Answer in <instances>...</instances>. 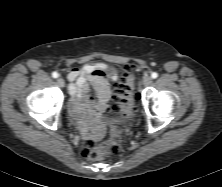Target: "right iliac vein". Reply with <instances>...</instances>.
<instances>
[{
	"label": "right iliac vein",
	"mask_w": 222,
	"mask_h": 187,
	"mask_svg": "<svg viewBox=\"0 0 222 187\" xmlns=\"http://www.w3.org/2000/svg\"><path fill=\"white\" fill-rule=\"evenodd\" d=\"M57 84H58L60 87H64V86H65V81H64L62 78H58V79H57Z\"/></svg>",
	"instance_id": "1"
}]
</instances>
